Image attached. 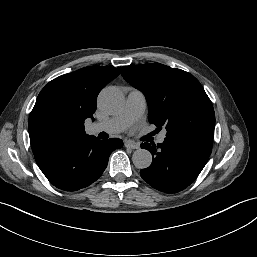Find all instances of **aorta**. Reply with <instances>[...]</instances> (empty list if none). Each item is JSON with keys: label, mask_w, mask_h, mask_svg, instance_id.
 I'll use <instances>...</instances> for the list:
<instances>
[{"label": "aorta", "mask_w": 257, "mask_h": 257, "mask_svg": "<svg viewBox=\"0 0 257 257\" xmlns=\"http://www.w3.org/2000/svg\"><path fill=\"white\" fill-rule=\"evenodd\" d=\"M124 98L121 91L115 87L103 89L98 97L100 107L107 112H114L123 105ZM132 161L135 167L139 169L148 168L152 163V155L146 149H137L132 155Z\"/></svg>", "instance_id": "obj_1"}]
</instances>
